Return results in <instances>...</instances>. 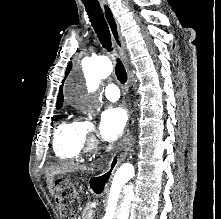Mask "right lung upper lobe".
<instances>
[{"label": "right lung upper lobe", "instance_id": "1", "mask_svg": "<svg viewBox=\"0 0 221 219\" xmlns=\"http://www.w3.org/2000/svg\"><path fill=\"white\" fill-rule=\"evenodd\" d=\"M71 67H72V63H70V64L68 65V67H67V69H66V76H65V77H67V75H68V73H69ZM62 83H63V82H62ZM62 105H63V93H62V85H61V86H60V90H59V95H58V97H57L56 108L59 109V108L62 107Z\"/></svg>", "mask_w": 221, "mask_h": 219}]
</instances>
